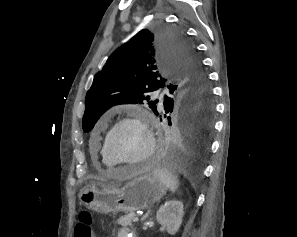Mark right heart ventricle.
Wrapping results in <instances>:
<instances>
[{
	"label": "right heart ventricle",
	"mask_w": 297,
	"mask_h": 237,
	"mask_svg": "<svg viewBox=\"0 0 297 237\" xmlns=\"http://www.w3.org/2000/svg\"><path fill=\"white\" fill-rule=\"evenodd\" d=\"M100 157H101L102 163L104 164L105 167L113 169L118 166V164L114 160H112L110 158V156L108 155V153L106 152L105 147H104V142L100 149Z\"/></svg>",
	"instance_id": "right-heart-ventricle-1"
}]
</instances>
